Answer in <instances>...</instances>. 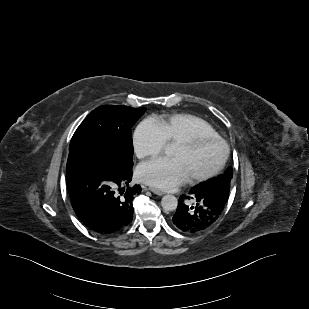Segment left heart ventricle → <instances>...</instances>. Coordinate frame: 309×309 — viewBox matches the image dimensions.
I'll return each instance as SVG.
<instances>
[{
  "instance_id": "1",
  "label": "left heart ventricle",
  "mask_w": 309,
  "mask_h": 309,
  "mask_svg": "<svg viewBox=\"0 0 309 309\" xmlns=\"http://www.w3.org/2000/svg\"><path fill=\"white\" fill-rule=\"evenodd\" d=\"M221 152V146L217 142H206L195 148L176 144L171 155L173 158L181 160L191 177L212 170L218 163Z\"/></svg>"
}]
</instances>
